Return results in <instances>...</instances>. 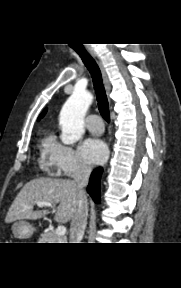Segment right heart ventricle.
I'll list each match as a JSON object with an SVG mask.
<instances>
[{
  "mask_svg": "<svg viewBox=\"0 0 181 288\" xmlns=\"http://www.w3.org/2000/svg\"><path fill=\"white\" fill-rule=\"evenodd\" d=\"M54 143L52 136L48 135L44 137L41 141V150H42V157H41V163L44 166L50 165L49 163V150L51 145Z\"/></svg>",
  "mask_w": 181,
  "mask_h": 288,
  "instance_id": "right-heart-ventricle-1",
  "label": "right heart ventricle"
}]
</instances>
